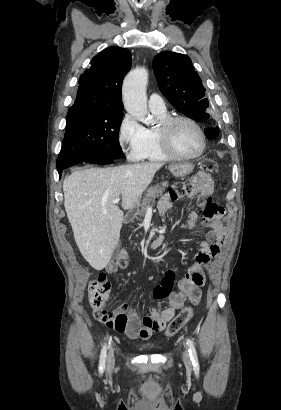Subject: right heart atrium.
Segmentation results:
<instances>
[{
    "mask_svg": "<svg viewBox=\"0 0 281 410\" xmlns=\"http://www.w3.org/2000/svg\"><path fill=\"white\" fill-rule=\"evenodd\" d=\"M146 129L130 114H125L118 128V141L130 161L139 160Z\"/></svg>",
    "mask_w": 281,
    "mask_h": 410,
    "instance_id": "d8ad5b80",
    "label": "right heart atrium"
}]
</instances>
